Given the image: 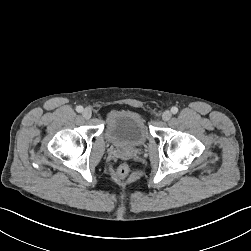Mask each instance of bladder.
Wrapping results in <instances>:
<instances>
[{"label":"bladder","instance_id":"obj_1","mask_svg":"<svg viewBox=\"0 0 251 251\" xmlns=\"http://www.w3.org/2000/svg\"><path fill=\"white\" fill-rule=\"evenodd\" d=\"M107 139L120 148H135L145 143L148 131L143 117L131 109L112 111L106 121Z\"/></svg>","mask_w":251,"mask_h":251}]
</instances>
